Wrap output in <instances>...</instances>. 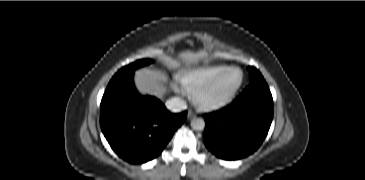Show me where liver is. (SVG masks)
I'll list each match as a JSON object with an SVG mask.
<instances>
[{
	"label": "liver",
	"instance_id": "obj_1",
	"mask_svg": "<svg viewBox=\"0 0 365 180\" xmlns=\"http://www.w3.org/2000/svg\"><path fill=\"white\" fill-rule=\"evenodd\" d=\"M207 56L208 53L206 51H183L176 55L175 58L166 57L165 62L169 66L184 64L189 67L197 64L199 60ZM165 80V75L155 70L143 68L135 72V84L141 94H149L162 98L166 92Z\"/></svg>",
	"mask_w": 365,
	"mask_h": 180
}]
</instances>
